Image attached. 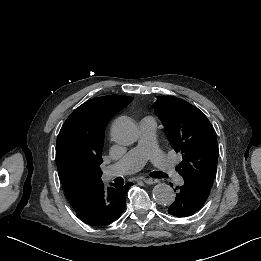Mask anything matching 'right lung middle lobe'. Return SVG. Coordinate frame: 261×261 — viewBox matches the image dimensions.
I'll return each mask as SVG.
<instances>
[{
  "instance_id": "obj_1",
  "label": "right lung middle lobe",
  "mask_w": 261,
  "mask_h": 261,
  "mask_svg": "<svg viewBox=\"0 0 261 261\" xmlns=\"http://www.w3.org/2000/svg\"><path fill=\"white\" fill-rule=\"evenodd\" d=\"M101 158L83 157L76 153L67 156L59 177L64 190L84 192L92 190L101 182Z\"/></svg>"
}]
</instances>
